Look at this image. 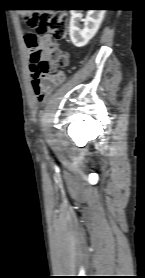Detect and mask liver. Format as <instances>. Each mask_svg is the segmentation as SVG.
<instances>
[{
	"label": "liver",
	"instance_id": "obj_1",
	"mask_svg": "<svg viewBox=\"0 0 145 278\" xmlns=\"http://www.w3.org/2000/svg\"><path fill=\"white\" fill-rule=\"evenodd\" d=\"M36 10H20L21 15H32V13ZM38 11H44V12H49L50 10H38Z\"/></svg>",
	"mask_w": 145,
	"mask_h": 278
}]
</instances>
